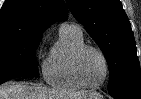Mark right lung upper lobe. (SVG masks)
<instances>
[{
  "mask_svg": "<svg viewBox=\"0 0 141 99\" xmlns=\"http://www.w3.org/2000/svg\"><path fill=\"white\" fill-rule=\"evenodd\" d=\"M61 0H6L0 9V33L42 36L49 25L67 18Z\"/></svg>",
  "mask_w": 141,
  "mask_h": 99,
  "instance_id": "cb5924a9",
  "label": "right lung upper lobe"
}]
</instances>
